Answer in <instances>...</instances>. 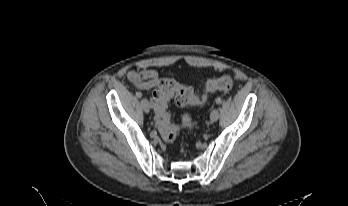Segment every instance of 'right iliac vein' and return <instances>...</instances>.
<instances>
[{
  "instance_id": "63e3f726",
  "label": "right iliac vein",
  "mask_w": 348,
  "mask_h": 206,
  "mask_svg": "<svg viewBox=\"0 0 348 206\" xmlns=\"http://www.w3.org/2000/svg\"><path fill=\"white\" fill-rule=\"evenodd\" d=\"M141 106H142L143 111H144L145 113H149V112H150L149 102H148V100H147L146 98H143V99L141 100Z\"/></svg>"
}]
</instances>
